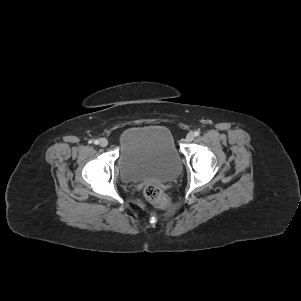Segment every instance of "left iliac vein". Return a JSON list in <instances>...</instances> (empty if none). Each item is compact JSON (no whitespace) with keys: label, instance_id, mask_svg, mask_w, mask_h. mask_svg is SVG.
Here are the masks:
<instances>
[{"label":"left iliac vein","instance_id":"obj_1","mask_svg":"<svg viewBox=\"0 0 301 301\" xmlns=\"http://www.w3.org/2000/svg\"><path fill=\"white\" fill-rule=\"evenodd\" d=\"M186 140L188 142H191L194 140V134L193 133H188L187 136H186Z\"/></svg>","mask_w":301,"mask_h":301}]
</instances>
